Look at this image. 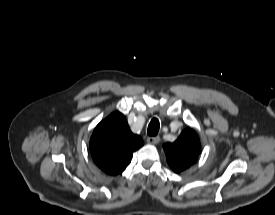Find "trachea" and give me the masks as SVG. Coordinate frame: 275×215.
<instances>
[{"label": "trachea", "instance_id": "trachea-1", "mask_svg": "<svg viewBox=\"0 0 275 215\" xmlns=\"http://www.w3.org/2000/svg\"><path fill=\"white\" fill-rule=\"evenodd\" d=\"M159 132V120L157 118H153L148 125L147 133L149 136H156Z\"/></svg>", "mask_w": 275, "mask_h": 215}]
</instances>
